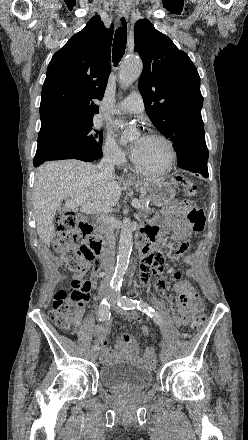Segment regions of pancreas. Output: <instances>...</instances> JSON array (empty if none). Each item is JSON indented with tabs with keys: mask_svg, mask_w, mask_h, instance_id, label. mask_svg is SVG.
I'll return each instance as SVG.
<instances>
[{
	"mask_svg": "<svg viewBox=\"0 0 248 440\" xmlns=\"http://www.w3.org/2000/svg\"><path fill=\"white\" fill-rule=\"evenodd\" d=\"M148 200V198L146 197H141L140 198V211H139V215L143 218H147L150 214H151V209L145 206V202Z\"/></svg>",
	"mask_w": 248,
	"mask_h": 440,
	"instance_id": "pancreas-1",
	"label": "pancreas"
}]
</instances>
